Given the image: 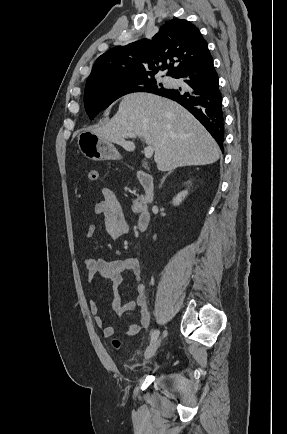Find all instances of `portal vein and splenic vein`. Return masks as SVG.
<instances>
[{"label":"portal vein and splenic vein","mask_w":287,"mask_h":434,"mask_svg":"<svg viewBox=\"0 0 287 434\" xmlns=\"http://www.w3.org/2000/svg\"><path fill=\"white\" fill-rule=\"evenodd\" d=\"M125 135L130 138L136 137V134L132 132H127ZM153 153H154V147L152 145H148L147 147L144 148V155L146 159H150Z\"/></svg>","instance_id":"1"}]
</instances>
